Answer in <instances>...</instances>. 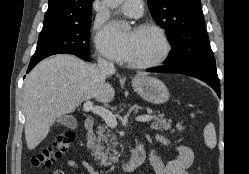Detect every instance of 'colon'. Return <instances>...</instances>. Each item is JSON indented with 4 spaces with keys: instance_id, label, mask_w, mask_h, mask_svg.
I'll use <instances>...</instances> for the list:
<instances>
[{
    "instance_id": "5ec220e1",
    "label": "colon",
    "mask_w": 249,
    "mask_h": 174,
    "mask_svg": "<svg viewBox=\"0 0 249 174\" xmlns=\"http://www.w3.org/2000/svg\"><path fill=\"white\" fill-rule=\"evenodd\" d=\"M75 141V132L66 130L58 134L53 145L37 153L31 159L34 168H45L50 166L59 156L66 152Z\"/></svg>"
}]
</instances>
